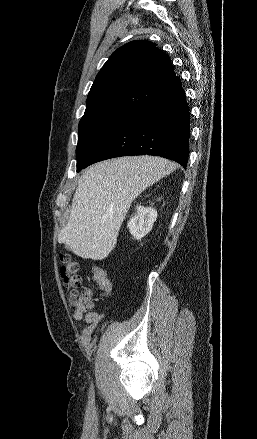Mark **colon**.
Wrapping results in <instances>:
<instances>
[{"mask_svg":"<svg viewBox=\"0 0 257 439\" xmlns=\"http://www.w3.org/2000/svg\"><path fill=\"white\" fill-rule=\"evenodd\" d=\"M59 261L60 274L67 288V299L73 306L84 311L86 303L85 294L82 292L83 281L79 274L81 266L79 262L66 254L60 255ZM94 279L103 292L111 290L110 280L102 269H94Z\"/></svg>","mask_w":257,"mask_h":439,"instance_id":"colon-1","label":"colon"}]
</instances>
